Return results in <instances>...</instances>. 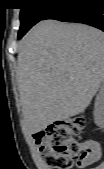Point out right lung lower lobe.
I'll return each instance as SVG.
<instances>
[{
  "label": "right lung lower lobe",
  "mask_w": 104,
  "mask_h": 169,
  "mask_svg": "<svg viewBox=\"0 0 104 169\" xmlns=\"http://www.w3.org/2000/svg\"><path fill=\"white\" fill-rule=\"evenodd\" d=\"M56 1L58 5L45 19L84 23L104 31V0Z\"/></svg>",
  "instance_id": "right-lung-lower-lobe-1"
}]
</instances>
